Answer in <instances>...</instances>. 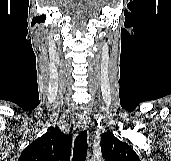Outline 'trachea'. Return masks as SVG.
Wrapping results in <instances>:
<instances>
[{"label":"trachea","mask_w":171,"mask_h":161,"mask_svg":"<svg viewBox=\"0 0 171 161\" xmlns=\"http://www.w3.org/2000/svg\"><path fill=\"white\" fill-rule=\"evenodd\" d=\"M87 130L81 131L76 137L73 148V161H85L87 156Z\"/></svg>","instance_id":"1"}]
</instances>
